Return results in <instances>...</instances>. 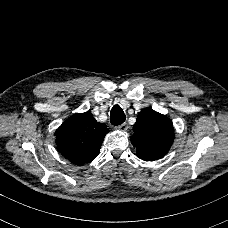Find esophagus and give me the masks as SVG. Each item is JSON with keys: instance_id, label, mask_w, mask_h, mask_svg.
Segmentation results:
<instances>
[{"instance_id": "obj_1", "label": "esophagus", "mask_w": 228, "mask_h": 228, "mask_svg": "<svg viewBox=\"0 0 228 228\" xmlns=\"http://www.w3.org/2000/svg\"><path fill=\"white\" fill-rule=\"evenodd\" d=\"M117 129L120 130V131H126L128 129V124L127 123H123V124L119 125L117 127Z\"/></svg>"}]
</instances>
